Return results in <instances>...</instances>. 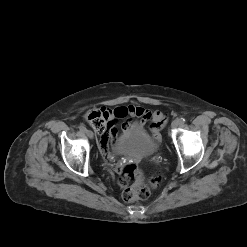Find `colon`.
Segmentation results:
<instances>
[{"label": "colon", "instance_id": "1", "mask_svg": "<svg viewBox=\"0 0 247 247\" xmlns=\"http://www.w3.org/2000/svg\"><path fill=\"white\" fill-rule=\"evenodd\" d=\"M89 125L99 133H105L108 129V117L103 110H93L86 115ZM122 174L125 180H130L133 184L122 193V198L126 202L138 199H146L150 195V187H156L159 178L154 176L149 180V185L144 181L142 172L134 164L124 165Z\"/></svg>", "mask_w": 247, "mask_h": 247}]
</instances>
